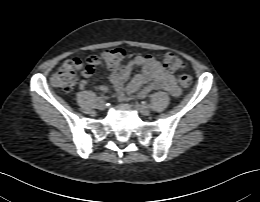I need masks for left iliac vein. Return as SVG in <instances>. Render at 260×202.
<instances>
[{
  "instance_id": "obj_1",
  "label": "left iliac vein",
  "mask_w": 260,
  "mask_h": 202,
  "mask_svg": "<svg viewBox=\"0 0 260 202\" xmlns=\"http://www.w3.org/2000/svg\"><path fill=\"white\" fill-rule=\"evenodd\" d=\"M134 108L144 116L150 115V108L148 105L135 104Z\"/></svg>"
}]
</instances>
